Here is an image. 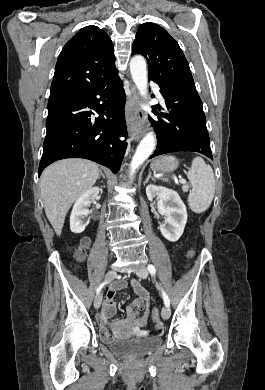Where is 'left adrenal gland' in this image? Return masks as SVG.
I'll return each mask as SVG.
<instances>
[{
    "label": "left adrenal gland",
    "instance_id": "1",
    "mask_svg": "<svg viewBox=\"0 0 265 390\" xmlns=\"http://www.w3.org/2000/svg\"><path fill=\"white\" fill-rule=\"evenodd\" d=\"M150 178H151L153 181H155V178L152 176L151 171H149L148 176H147V178H146V181H145L144 183H147V182L149 181Z\"/></svg>",
    "mask_w": 265,
    "mask_h": 390
}]
</instances>
